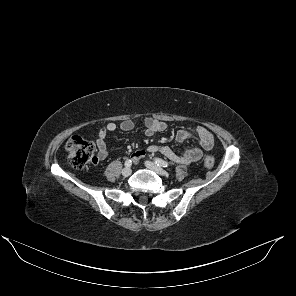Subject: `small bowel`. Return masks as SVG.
<instances>
[{"label":"small bowel","instance_id":"small-bowel-1","mask_svg":"<svg viewBox=\"0 0 296 296\" xmlns=\"http://www.w3.org/2000/svg\"><path fill=\"white\" fill-rule=\"evenodd\" d=\"M144 127L145 134L151 136L157 132H162L167 128L165 122L152 117H144L140 121L127 119L119 125L114 122L107 123L98 132L96 144L98 147V158L104 160L108 156L106 146V137L109 133L116 131L118 128L124 132L133 131L138 123ZM196 137L198 146L186 148L181 154H177L168 146L150 145L145 150L137 151L132 155V161L139 163L147 153H161L169 160L179 164H190L200 160L203 152H210L214 147V140L211 133L203 126H198L194 131L180 130L176 133V141L181 143L187 139Z\"/></svg>","mask_w":296,"mask_h":296}]
</instances>
